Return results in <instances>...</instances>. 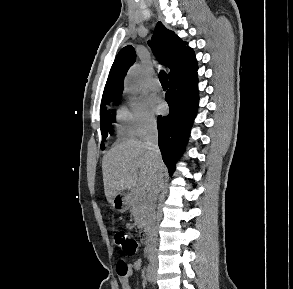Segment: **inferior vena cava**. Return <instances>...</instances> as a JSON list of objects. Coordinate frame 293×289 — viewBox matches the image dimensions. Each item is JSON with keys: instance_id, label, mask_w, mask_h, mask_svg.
I'll return each mask as SVG.
<instances>
[{"instance_id": "inferior-vena-cava-1", "label": "inferior vena cava", "mask_w": 293, "mask_h": 289, "mask_svg": "<svg viewBox=\"0 0 293 289\" xmlns=\"http://www.w3.org/2000/svg\"><path fill=\"white\" fill-rule=\"evenodd\" d=\"M143 141L147 145L148 149L151 151L154 159V166L156 174L153 178L151 187L148 190L147 196V226L146 232L148 235L147 239V250L148 259L150 262L156 264V245H157V229H156V214H155V202L157 200L158 194L164 183V174L160 170L161 164V153L158 147V131L157 124L155 121H150L146 125V130L143 136Z\"/></svg>"}]
</instances>
